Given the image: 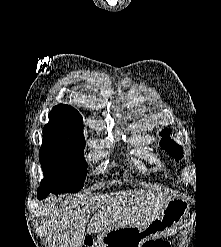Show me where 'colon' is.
Masks as SVG:
<instances>
[{"instance_id": "obj_1", "label": "colon", "mask_w": 221, "mask_h": 247, "mask_svg": "<svg viewBox=\"0 0 221 247\" xmlns=\"http://www.w3.org/2000/svg\"><path fill=\"white\" fill-rule=\"evenodd\" d=\"M84 247H93L92 242H86ZM143 247H170V243L165 241L163 243H153V242H146L144 243Z\"/></svg>"}]
</instances>
